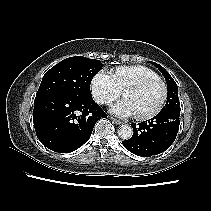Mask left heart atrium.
Returning a JSON list of instances; mask_svg holds the SVG:
<instances>
[{"mask_svg":"<svg viewBox=\"0 0 211 211\" xmlns=\"http://www.w3.org/2000/svg\"><path fill=\"white\" fill-rule=\"evenodd\" d=\"M110 111L119 117H129L135 115V111L131 102L126 98L112 105Z\"/></svg>","mask_w":211,"mask_h":211,"instance_id":"39dd6f15","label":"left heart atrium"}]
</instances>
